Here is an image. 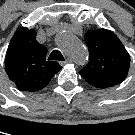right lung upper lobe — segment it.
<instances>
[{"label":"right lung upper lobe","mask_w":135,"mask_h":135,"mask_svg":"<svg viewBox=\"0 0 135 135\" xmlns=\"http://www.w3.org/2000/svg\"><path fill=\"white\" fill-rule=\"evenodd\" d=\"M46 53L36 41L35 30L20 28L15 32L6 53L5 70L19 90H41L61 70L57 62L46 61Z\"/></svg>","instance_id":"cb5924a9"}]
</instances>
